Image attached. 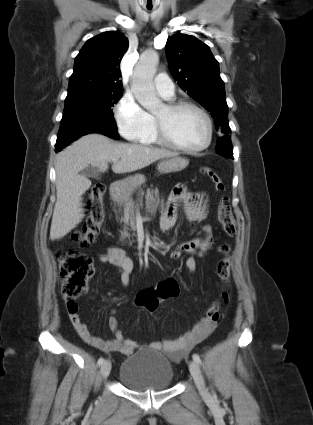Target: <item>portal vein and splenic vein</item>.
<instances>
[{
  "label": "portal vein and splenic vein",
  "instance_id": "obj_1",
  "mask_svg": "<svg viewBox=\"0 0 313 425\" xmlns=\"http://www.w3.org/2000/svg\"><path fill=\"white\" fill-rule=\"evenodd\" d=\"M112 162H113V163H116V162H117V160H116V159H113V160H112Z\"/></svg>",
  "mask_w": 313,
  "mask_h": 425
}]
</instances>
